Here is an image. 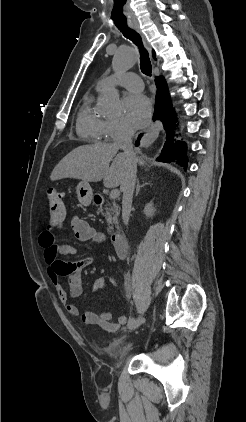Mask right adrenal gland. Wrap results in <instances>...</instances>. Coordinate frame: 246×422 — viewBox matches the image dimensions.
<instances>
[{"instance_id": "2a0ac1e0", "label": "right adrenal gland", "mask_w": 246, "mask_h": 422, "mask_svg": "<svg viewBox=\"0 0 246 422\" xmlns=\"http://www.w3.org/2000/svg\"><path fill=\"white\" fill-rule=\"evenodd\" d=\"M148 184H150V182H144L143 184H140V181H139V180H137V184H136V193H135V195H136V196L138 195V193H139V191H140V188H141V187H143V186H145V185H148Z\"/></svg>"}]
</instances>
